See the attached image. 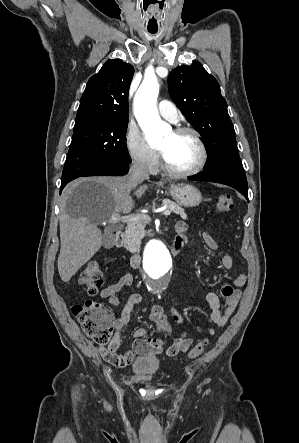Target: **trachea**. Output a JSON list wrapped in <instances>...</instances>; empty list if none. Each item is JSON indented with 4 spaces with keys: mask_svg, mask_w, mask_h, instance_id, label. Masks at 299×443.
I'll use <instances>...</instances> for the list:
<instances>
[{
    "mask_svg": "<svg viewBox=\"0 0 299 443\" xmlns=\"http://www.w3.org/2000/svg\"><path fill=\"white\" fill-rule=\"evenodd\" d=\"M150 33H156L157 30H149Z\"/></svg>",
    "mask_w": 299,
    "mask_h": 443,
    "instance_id": "3493384b",
    "label": "trachea"
}]
</instances>
